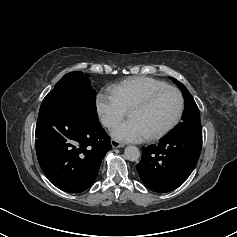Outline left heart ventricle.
<instances>
[{"instance_id": "1", "label": "left heart ventricle", "mask_w": 237, "mask_h": 237, "mask_svg": "<svg viewBox=\"0 0 237 237\" xmlns=\"http://www.w3.org/2000/svg\"><path fill=\"white\" fill-rule=\"evenodd\" d=\"M178 105L176 93L167 90L157 95L148 106L131 110L129 118L136 120L146 135L150 136L171 122L177 113Z\"/></svg>"}]
</instances>
